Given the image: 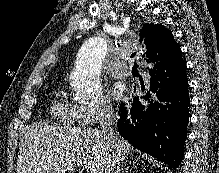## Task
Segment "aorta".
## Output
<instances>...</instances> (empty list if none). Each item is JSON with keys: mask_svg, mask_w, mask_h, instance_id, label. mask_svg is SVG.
<instances>
[{"mask_svg": "<svg viewBox=\"0 0 219 173\" xmlns=\"http://www.w3.org/2000/svg\"><path fill=\"white\" fill-rule=\"evenodd\" d=\"M107 55L102 37L89 38L80 48L72 77V86L81 101H95L102 94L100 72Z\"/></svg>", "mask_w": 219, "mask_h": 173, "instance_id": "obj_1", "label": "aorta"}]
</instances>
